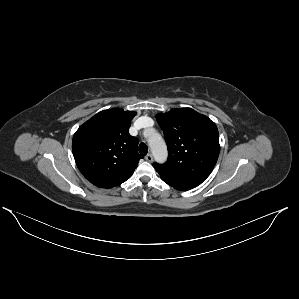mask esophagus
Here are the masks:
<instances>
[{"mask_svg":"<svg viewBox=\"0 0 299 299\" xmlns=\"http://www.w3.org/2000/svg\"><path fill=\"white\" fill-rule=\"evenodd\" d=\"M145 159L148 161V162H152L153 161V156L152 154H147Z\"/></svg>","mask_w":299,"mask_h":299,"instance_id":"34e87169","label":"esophagus"}]
</instances>
